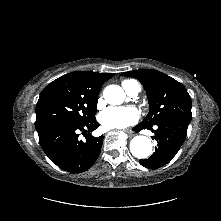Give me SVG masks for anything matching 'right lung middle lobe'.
<instances>
[{"label": "right lung middle lobe", "instance_id": "right-lung-middle-lobe-1", "mask_svg": "<svg viewBox=\"0 0 221 221\" xmlns=\"http://www.w3.org/2000/svg\"><path fill=\"white\" fill-rule=\"evenodd\" d=\"M96 100L97 95L88 94L72 80L59 77L40 94L35 128L40 132L55 125L86 124L95 119Z\"/></svg>", "mask_w": 221, "mask_h": 221}]
</instances>
